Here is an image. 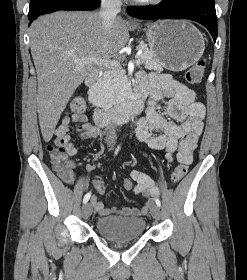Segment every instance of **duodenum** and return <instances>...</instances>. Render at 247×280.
Wrapping results in <instances>:
<instances>
[{
  "instance_id": "410a0bca",
  "label": "duodenum",
  "mask_w": 247,
  "mask_h": 280,
  "mask_svg": "<svg viewBox=\"0 0 247 280\" xmlns=\"http://www.w3.org/2000/svg\"><path fill=\"white\" fill-rule=\"evenodd\" d=\"M99 74L93 73L87 79L89 88H93L98 81ZM143 108V91L135 90L128 100L114 108H96L93 114L94 120L98 126H106L112 122H126L135 114H138Z\"/></svg>"
}]
</instances>
